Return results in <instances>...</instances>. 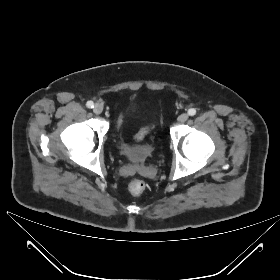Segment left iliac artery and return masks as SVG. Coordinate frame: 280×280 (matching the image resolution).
<instances>
[{
  "label": "left iliac artery",
  "mask_w": 280,
  "mask_h": 280,
  "mask_svg": "<svg viewBox=\"0 0 280 280\" xmlns=\"http://www.w3.org/2000/svg\"><path fill=\"white\" fill-rule=\"evenodd\" d=\"M188 114H189L190 116H194V115L196 114V109H194V108L189 109V110H188Z\"/></svg>",
  "instance_id": "obj_1"
}]
</instances>
